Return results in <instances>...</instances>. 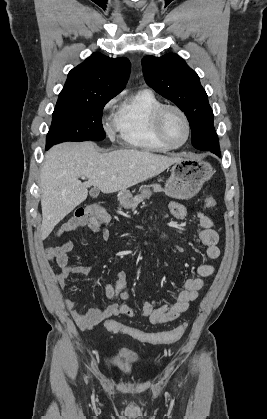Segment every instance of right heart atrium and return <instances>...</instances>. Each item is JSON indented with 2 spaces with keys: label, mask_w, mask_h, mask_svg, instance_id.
Segmentation results:
<instances>
[{
  "label": "right heart atrium",
  "mask_w": 267,
  "mask_h": 419,
  "mask_svg": "<svg viewBox=\"0 0 267 419\" xmlns=\"http://www.w3.org/2000/svg\"><path fill=\"white\" fill-rule=\"evenodd\" d=\"M115 103V99H113V100H111V101H109L108 103H107V105H106V108L108 109V108H110L113 104ZM109 132H110V130H108Z\"/></svg>",
  "instance_id": "right-heart-atrium-1"
}]
</instances>
